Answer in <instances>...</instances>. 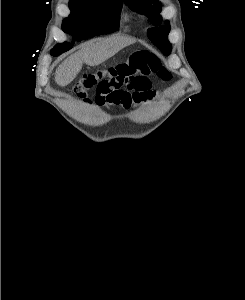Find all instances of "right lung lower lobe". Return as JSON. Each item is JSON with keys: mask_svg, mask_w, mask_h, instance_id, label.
I'll list each match as a JSON object with an SVG mask.
<instances>
[{"mask_svg": "<svg viewBox=\"0 0 245 300\" xmlns=\"http://www.w3.org/2000/svg\"><path fill=\"white\" fill-rule=\"evenodd\" d=\"M79 27H81L87 34L86 37L90 38L96 35H100L102 31H100V24L94 20H83L78 23ZM86 38V39H87Z\"/></svg>", "mask_w": 245, "mask_h": 300, "instance_id": "1", "label": "right lung lower lobe"}]
</instances>
